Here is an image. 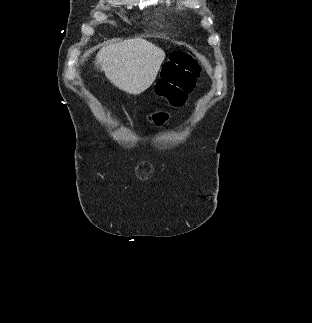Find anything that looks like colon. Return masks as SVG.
Masks as SVG:
<instances>
[{
  "mask_svg": "<svg viewBox=\"0 0 312 323\" xmlns=\"http://www.w3.org/2000/svg\"><path fill=\"white\" fill-rule=\"evenodd\" d=\"M164 72L165 78L158 79V94L172 107L179 108L184 104L187 94L193 90V83L201 72V66L191 55L175 51ZM158 116H162L164 121L169 119L164 113H159ZM160 122L158 119L159 124Z\"/></svg>",
  "mask_w": 312,
  "mask_h": 323,
  "instance_id": "obj_1",
  "label": "colon"
}]
</instances>
